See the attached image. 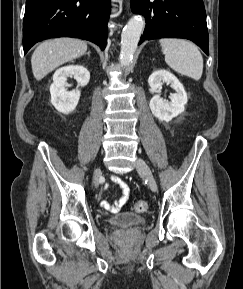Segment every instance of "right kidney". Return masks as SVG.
<instances>
[{
  "label": "right kidney",
  "mask_w": 243,
  "mask_h": 289,
  "mask_svg": "<svg viewBox=\"0 0 243 289\" xmlns=\"http://www.w3.org/2000/svg\"><path fill=\"white\" fill-rule=\"evenodd\" d=\"M74 76L78 85L84 87L90 80L89 71L81 65H68L59 68L53 75V83L50 86L51 103L61 113L72 112L79 101L80 91L68 92L65 89L67 77Z\"/></svg>",
  "instance_id": "right-kidney-1"
}]
</instances>
